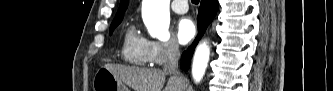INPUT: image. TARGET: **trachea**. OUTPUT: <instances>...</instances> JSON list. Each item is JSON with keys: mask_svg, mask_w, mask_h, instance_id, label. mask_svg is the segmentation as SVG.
Masks as SVG:
<instances>
[{"mask_svg": "<svg viewBox=\"0 0 333 91\" xmlns=\"http://www.w3.org/2000/svg\"><path fill=\"white\" fill-rule=\"evenodd\" d=\"M192 2H193V3H197V2H198V0H192Z\"/></svg>", "mask_w": 333, "mask_h": 91, "instance_id": "obj_1", "label": "trachea"}]
</instances>
